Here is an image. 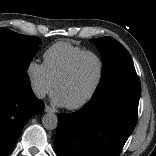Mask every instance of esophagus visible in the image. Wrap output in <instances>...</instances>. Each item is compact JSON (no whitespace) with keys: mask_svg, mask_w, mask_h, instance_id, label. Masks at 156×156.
<instances>
[{"mask_svg":"<svg viewBox=\"0 0 156 156\" xmlns=\"http://www.w3.org/2000/svg\"><path fill=\"white\" fill-rule=\"evenodd\" d=\"M44 110L45 112H53V113L56 112V110L54 108H51L49 105H46Z\"/></svg>","mask_w":156,"mask_h":156,"instance_id":"1","label":"esophagus"}]
</instances>
